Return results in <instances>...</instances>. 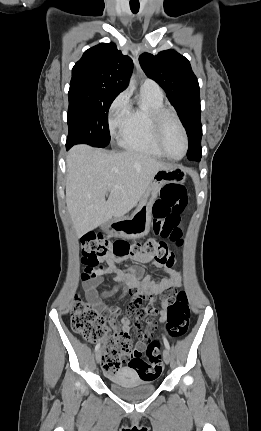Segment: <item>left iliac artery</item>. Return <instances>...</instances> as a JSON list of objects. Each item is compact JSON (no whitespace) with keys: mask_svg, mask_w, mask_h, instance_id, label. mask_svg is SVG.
<instances>
[{"mask_svg":"<svg viewBox=\"0 0 261 431\" xmlns=\"http://www.w3.org/2000/svg\"><path fill=\"white\" fill-rule=\"evenodd\" d=\"M163 342H164L165 347L169 350L170 346H169V343H168L167 339L165 338V336H163Z\"/></svg>","mask_w":261,"mask_h":431,"instance_id":"1","label":"left iliac artery"}]
</instances>
